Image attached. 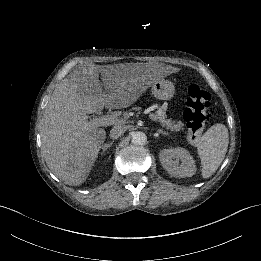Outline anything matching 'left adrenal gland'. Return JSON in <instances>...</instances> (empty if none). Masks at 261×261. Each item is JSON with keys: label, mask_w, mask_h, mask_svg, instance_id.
<instances>
[{"label": "left adrenal gland", "mask_w": 261, "mask_h": 261, "mask_svg": "<svg viewBox=\"0 0 261 261\" xmlns=\"http://www.w3.org/2000/svg\"><path fill=\"white\" fill-rule=\"evenodd\" d=\"M157 133H158V134H161V135H165V136L168 135V133H166V132L163 131V130H158Z\"/></svg>", "instance_id": "left-adrenal-gland-1"}]
</instances>
